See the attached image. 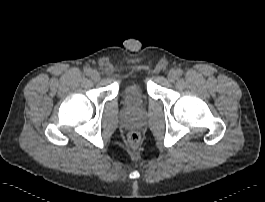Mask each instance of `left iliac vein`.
<instances>
[{"instance_id":"obj_1","label":"left iliac vein","mask_w":265,"mask_h":202,"mask_svg":"<svg viewBox=\"0 0 265 202\" xmlns=\"http://www.w3.org/2000/svg\"><path fill=\"white\" fill-rule=\"evenodd\" d=\"M177 77V73L175 70H170L169 73H168V79L169 81L173 82Z\"/></svg>"}]
</instances>
